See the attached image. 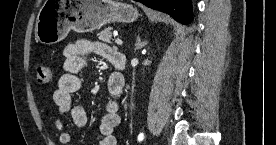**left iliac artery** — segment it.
Returning <instances> with one entry per match:
<instances>
[{
  "instance_id": "1",
  "label": "left iliac artery",
  "mask_w": 276,
  "mask_h": 145,
  "mask_svg": "<svg viewBox=\"0 0 276 145\" xmlns=\"http://www.w3.org/2000/svg\"><path fill=\"white\" fill-rule=\"evenodd\" d=\"M144 133H140L139 135H138V141L139 142H141V141H143L144 140Z\"/></svg>"
}]
</instances>
